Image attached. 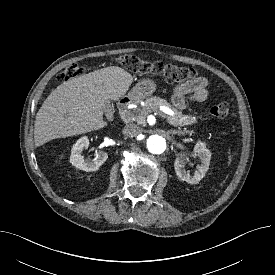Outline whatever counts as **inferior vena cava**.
Returning <instances> with one entry per match:
<instances>
[{"instance_id": "602c4592", "label": "inferior vena cava", "mask_w": 275, "mask_h": 275, "mask_svg": "<svg viewBox=\"0 0 275 275\" xmlns=\"http://www.w3.org/2000/svg\"><path fill=\"white\" fill-rule=\"evenodd\" d=\"M141 132V128L136 124H128L123 129L124 135L130 138L137 137Z\"/></svg>"}]
</instances>
